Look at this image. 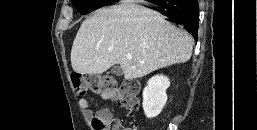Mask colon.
<instances>
[{
    "label": "colon",
    "mask_w": 257,
    "mask_h": 130,
    "mask_svg": "<svg viewBox=\"0 0 257 130\" xmlns=\"http://www.w3.org/2000/svg\"><path fill=\"white\" fill-rule=\"evenodd\" d=\"M72 83L78 96H84L89 90L115 99L128 112L136 111L139 107L140 85L136 80L125 81L120 87H117L115 79L111 76L73 73ZM92 125L95 130H132L122 128L117 119L104 118L100 115L92 118Z\"/></svg>",
    "instance_id": "1"
}]
</instances>
